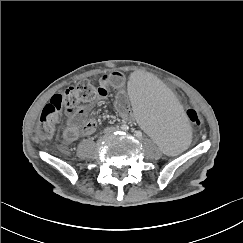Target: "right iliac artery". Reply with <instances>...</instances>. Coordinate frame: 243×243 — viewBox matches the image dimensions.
Here are the masks:
<instances>
[{"instance_id":"obj_1","label":"right iliac artery","mask_w":243,"mask_h":243,"mask_svg":"<svg viewBox=\"0 0 243 243\" xmlns=\"http://www.w3.org/2000/svg\"><path fill=\"white\" fill-rule=\"evenodd\" d=\"M121 129H122L123 131H127V130L129 129V127H128L126 124H123V125L121 126Z\"/></svg>"}]
</instances>
